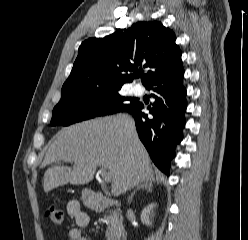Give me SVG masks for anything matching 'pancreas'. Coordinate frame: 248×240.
Returning a JSON list of instances; mask_svg holds the SVG:
<instances>
[{"instance_id":"cf45deb5","label":"pancreas","mask_w":248,"mask_h":240,"mask_svg":"<svg viewBox=\"0 0 248 240\" xmlns=\"http://www.w3.org/2000/svg\"><path fill=\"white\" fill-rule=\"evenodd\" d=\"M103 220L108 225L106 239L114 240L119 233V228L121 225L119 213L112 211L108 215H105Z\"/></svg>"}]
</instances>
